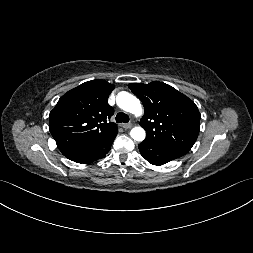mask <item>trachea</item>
Listing matches in <instances>:
<instances>
[{"mask_svg":"<svg viewBox=\"0 0 253 253\" xmlns=\"http://www.w3.org/2000/svg\"><path fill=\"white\" fill-rule=\"evenodd\" d=\"M116 122L117 123H127L129 122V116L123 112H120L116 115Z\"/></svg>","mask_w":253,"mask_h":253,"instance_id":"trachea-1","label":"trachea"}]
</instances>
